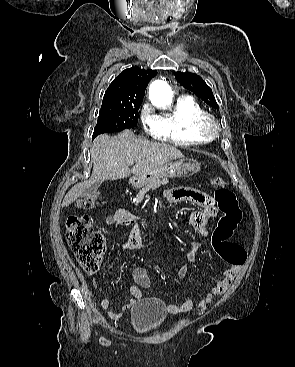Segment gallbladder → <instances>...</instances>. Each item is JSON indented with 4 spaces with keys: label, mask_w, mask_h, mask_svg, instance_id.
I'll list each match as a JSON object with an SVG mask.
<instances>
[{
    "label": "gallbladder",
    "mask_w": 295,
    "mask_h": 367,
    "mask_svg": "<svg viewBox=\"0 0 295 367\" xmlns=\"http://www.w3.org/2000/svg\"><path fill=\"white\" fill-rule=\"evenodd\" d=\"M102 184V181H97L95 182L93 185H91L88 189H87V194L92 195L94 194L98 188L100 187V185Z\"/></svg>",
    "instance_id": "obj_1"
}]
</instances>
